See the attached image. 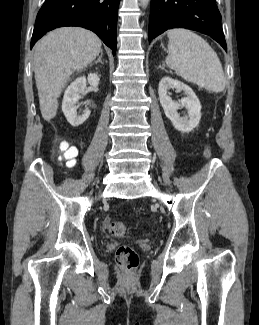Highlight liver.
Returning <instances> with one entry per match:
<instances>
[{"mask_svg":"<svg viewBox=\"0 0 259 325\" xmlns=\"http://www.w3.org/2000/svg\"><path fill=\"white\" fill-rule=\"evenodd\" d=\"M101 40L80 27L58 28L35 45L34 73L42 117L56 116L58 97L70 75L87 67L101 51Z\"/></svg>","mask_w":259,"mask_h":325,"instance_id":"obj_1","label":"liver"}]
</instances>
